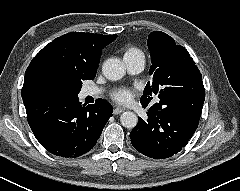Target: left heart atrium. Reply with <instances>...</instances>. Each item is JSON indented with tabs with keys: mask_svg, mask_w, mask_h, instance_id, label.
Listing matches in <instances>:
<instances>
[{
	"mask_svg": "<svg viewBox=\"0 0 240 191\" xmlns=\"http://www.w3.org/2000/svg\"><path fill=\"white\" fill-rule=\"evenodd\" d=\"M133 92L128 88H119L112 93V98L121 104H125L131 100Z\"/></svg>",
	"mask_w": 240,
	"mask_h": 191,
	"instance_id": "obj_1",
	"label": "left heart atrium"
}]
</instances>
